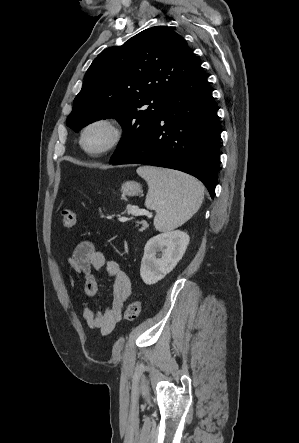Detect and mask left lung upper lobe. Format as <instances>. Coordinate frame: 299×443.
I'll return each instance as SVG.
<instances>
[{
  "mask_svg": "<svg viewBox=\"0 0 299 443\" xmlns=\"http://www.w3.org/2000/svg\"><path fill=\"white\" fill-rule=\"evenodd\" d=\"M198 66L186 41L173 29H146L95 58L66 124L78 132L94 121L117 119L123 137L111 157L114 161L155 124L174 89Z\"/></svg>",
  "mask_w": 299,
  "mask_h": 443,
  "instance_id": "1",
  "label": "left lung upper lobe"
}]
</instances>
